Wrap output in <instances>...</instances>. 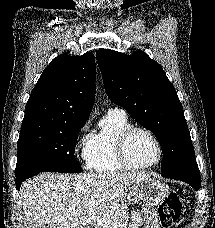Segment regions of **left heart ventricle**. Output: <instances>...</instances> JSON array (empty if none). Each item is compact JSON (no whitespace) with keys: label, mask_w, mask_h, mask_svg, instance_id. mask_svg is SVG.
Masks as SVG:
<instances>
[{"label":"left heart ventricle","mask_w":215,"mask_h":228,"mask_svg":"<svg viewBox=\"0 0 215 228\" xmlns=\"http://www.w3.org/2000/svg\"><path fill=\"white\" fill-rule=\"evenodd\" d=\"M127 155L136 166L152 163L157 158V149L151 138L143 132H135L127 144Z\"/></svg>","instance_id":"left-heart-ventricle-1"}]
</instances>
